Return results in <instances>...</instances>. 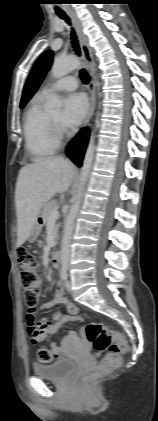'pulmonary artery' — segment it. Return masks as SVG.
I'll return each instance as SVG.
<instances>
[{
    "instance_id": "e3ab8cb5",
    "label": "pulmonary artery",
    "mask_w": 158,
    "mask_h": 421,
    "mask_svg": "<svg viewBox=\"0 0 158 421\" xmlns=\"http://www.w3.org/2000/svg\"><path fill=\"white\" fill-rule=\"evenodd\" d=\"M77 79L74 76H65L57 81L46 85L40 92L41 95L48 97L56 91H72L77 88Z\"/></svg>"
}]
</instances>
